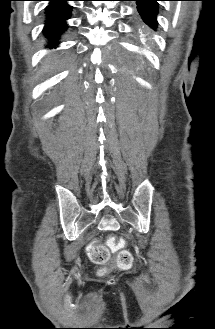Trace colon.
<instances>
[{
    "label": "colon",
    "instance_id": "1",
    "mask_svg": "<svg viewBox=\"0 0 215 329\" xmlns=\"http://www.w3.org/2000/svg\"><path fill=\"white\" fill-rule=\"evenodd\" d=\"M110 251L118 252L119 267L125 268L131 265L132 255L125 249V242L122 239L110 238L105 244L94 242L87 247L89 258L97 265H105L109 262Z\"/></svg>",
    "mask_w": 215,
    "mask_h": 329
}]
</instances>
